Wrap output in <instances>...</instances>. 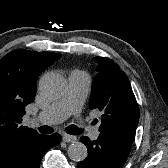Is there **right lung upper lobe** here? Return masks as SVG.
I'll return each mask as SVG.
<instances>
[{
  "label": "right lung upper lobe",
  "mask_w": 168,
  "mask_h": 168,
  "mask_svg": "<svg viewBox=\"0 0 168 168\" xmlns=\"http://www.w3.org/2000/svg\"><path fill=\"white\" fill-rule=\"evenodd\" d=\"M61 55L13 50L0 60V168L24 141L39 136L22 126L25 106L34 101L39 74Z\"/></svg>",
  "instance_id": "obj_1"
}]
</instances>
